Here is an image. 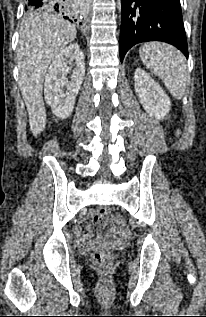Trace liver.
Segmentation results:
<instances>
[{
	"label": "liver",
	"instance_id": "liver-1",
	"mask_svg": "<svg viewBox=\"0 0 206 317\" xmlns=\"http://www.w3.org/2000/svg\"><path fill=\"white\" fill-rule=\"evenodd\" d=\"M76 34L73 24L51 13L30 18L20 29L17 50L19 86L34 136L43 132L46 126L42 96L46 71L54 57L74 41Z\"/></svg>",
	"mask_w": 206,
	"mask_h": 317
}]
</instances>
